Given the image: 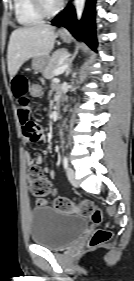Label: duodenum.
Here are the masks:
<instances>
[{
	"mask_svg": "<svg viewBox=\"0 0 134 281\" xmlns=\"http://www.w3.org/2000/svg\"><path fill=\"white\" fill-rule=\"evenodd\" d=\"M61 106H62L61 100L58 99V100L56 101V103H55V110H56L57 113L60 112Z\"/></svg>",
	"mask_w": 134,
	"mask_h": 281,
	"instance_id": "1",
	"label": "duodenum"
}]
</instances>
